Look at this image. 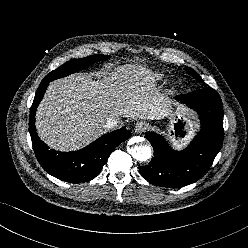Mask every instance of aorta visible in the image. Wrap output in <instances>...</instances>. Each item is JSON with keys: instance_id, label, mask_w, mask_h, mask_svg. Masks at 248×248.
I'll return each mask as SVG.
<instances>
[{"instance_id": "762f6f07", "label": "aorta", "mask_w": 248, "mask_h": 248, "mask_svg": "<svg viewBox=\"0 0 248 248\" xmlns=\"http://www.w3.org/2000/svg\"><path fill=\"white\" fill-rule=\"evenodd\" d=\"M134 142L142 141L141 138L135 137L133 138ZM129 154L140 162H145L151 157V147L149 145H135L128 149Z\"/></svg>"}]
</instances>
